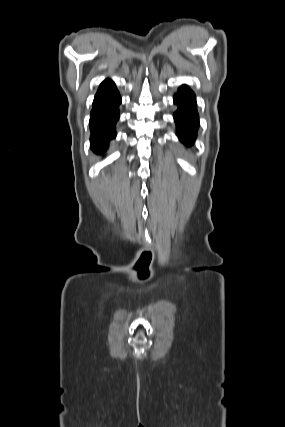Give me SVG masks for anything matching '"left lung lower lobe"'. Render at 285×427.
I'll return each mask as SVG.
<instances>
[{
  "mask_svg": "<svg viewBox=\"0 0 285 427\" xmlns=\"http://www.w3.org/2000/svg\"><path fill=\"white\" fill-rule=\"evenodd\" d=\"M174 102L178 105V109L174 113L177 135H182L183 143L191 145L199 127L195 95L188 87L182 86L175 95Z\"/></svg>",
  "mask_w": 285,
  "mask_h": 427,
  "instance_id": "obj_1",
  "label": "left lung lower lobe"
}]
</instances>
